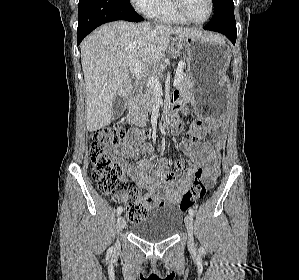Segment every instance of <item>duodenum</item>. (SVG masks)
Wrapping results in <instances>:
<instances>
[{"mask_svg":"<svg viewBox=\"0 0 299 280\" xmlns=\"http://www.w3.org/2000/svg\"><path fill=\"white\" fill-rule=\"evenodd\" d=\"M178 96L175 95L172 100H177Z\"/></svg>","mask_w":299,"mask_h":280,"instance_id":"obj_1","label":"duodenum"}]
</instances>
